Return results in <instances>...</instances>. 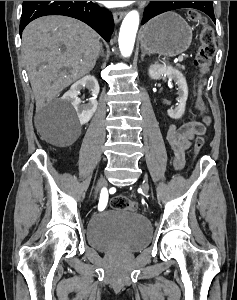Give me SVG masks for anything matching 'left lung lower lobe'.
Instances as JSON below:
<instances>
[{
	"label": "left lung lower lobe",
	"instance_id": "1",
	"mask_svg": "<svg viewBox=\"0 0 237 300\" xmlns=\"http://www.w3.org/2000/svg\"><path fill=\"white\" fill-rule=\"evenodd\" d=\"M181 2L184 1H174L173 5H179ZM203 6L200 7L199 10L206 13L214 22H215V16L213 11V1H203Z\"/></svg>",
	"mask_w": 237,
	"mask_h": 300
}]
</instances>
